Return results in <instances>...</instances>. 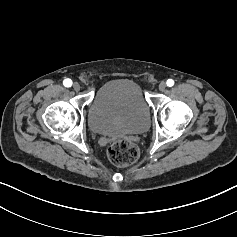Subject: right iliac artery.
<instances>
[{
    "instance_id": "obj_1",
    "label": "right iliac artery",
    "mask_w": 237,
    "mask_h": 237,
    "mask_svg": "<svg viewBox=\"0 0 237 237\" xmlns=\"http://www.w3.org/2000/svg\"><path fill=\"white\" fill-rule=\"evenodd\" d=\"M63 85H64L65 87H71V85H72V80L69 79V78L65 79V80L63 81Z\"/></svg>"
}]
</instances>
